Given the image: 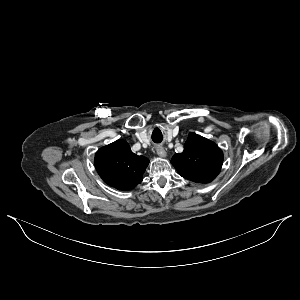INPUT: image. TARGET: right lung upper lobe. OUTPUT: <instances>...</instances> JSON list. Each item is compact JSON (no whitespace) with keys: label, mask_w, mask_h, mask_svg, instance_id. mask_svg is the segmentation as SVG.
Segmentation results:
<instances>
[{"label":"right lung upper lobe","mask_w":300,"mask_h":300,"mask_svg":"<svg viewBox=\"0 0 300 300\" xmlns=\"http://www.w3.org/2000/svg\"><path fill=\"white\" fill-rule=\"evenodd\" d=\"M149 164L144 156L134 154L128 143L117 140L95 154L94 165L102 180L118 190H131L142 182Z\"/></svg>","instance_id":"right-lung-upper-lobe-1"}]
</instances>
